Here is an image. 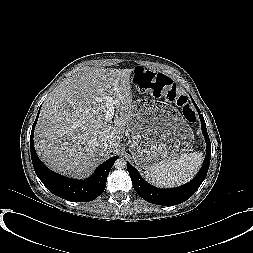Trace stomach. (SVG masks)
Returning a JSON list of instances; mask_svg holds the SVG:
<instances>
[{
  "instance_id": "obj_1",
  "label": "stomach",
  "mask_w": 253,
  "mask_h": 253,
  "mask_svg": "<svg viewBox=\"0 0 253 253\" xmlns=\"http://www.w3.org/2000/svg\"><path fill=\"white\" fill-rule=\"evenodd\" d=\"M127 128L134 138L129 151L143 169L179 158L192 149L194 142L193 131L182 113L170 103L155 99L133 102Z\"/></svg>"
}]
</instances>
